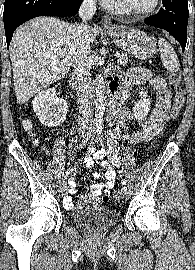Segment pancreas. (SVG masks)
I'll use <instances>...</instances> for the list:
<instances>
[{
  "mask_svg": "<svg viewBox=\"0 0 195 270\" xmlns=\"http://www.w3.org/2000/svg\"><path fill=\"white\" fill-rule=\"evenodd\" d=\"M127 62H128L127 54L126 53L120 54V56L118 57V63L120 65L125 66L127 64Z\"/></svg>",
  "mask_w": 195,
  "mask_h": 270,
  "instance_id": "cf45deb5",
  "label": "pancreas"
}]
</instances>
